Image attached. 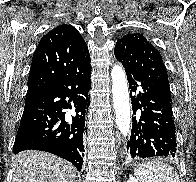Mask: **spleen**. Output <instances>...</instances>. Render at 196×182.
<instances>
[{"mask_svg":"<svg viewBox=\"0 0 196 182\" xmlns=\"http://www.w3.org/2000/svg\"><path fill=\"white\" fill-rule=\"evenodd\" d=\"M140 182H180L173 167L161 162H148L135 168Z\"/></svg>","mask_w":196,"mask_h":182,"instance_id":"1","label":"spleen"}]
</instances>
